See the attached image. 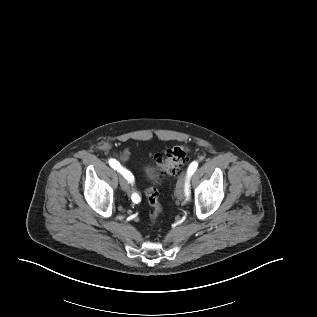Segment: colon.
<instances>
[{
  "label": "colon",
  "instance_id": "1",
  "mask_svg": "<svg viewBox=\"0 0 317 317\" xmlns=\"http://www.w3.org/2000/svg\"><path fill=\"white\" fill-rule=\"evenodd\" d=\"M187 150L185 146L177 145L168 149L164 155L156 154L154 160L158 170L168 175L176 174L187 160ZM145 195L151 207L150 221L154 224L162 212L159 194L156 188L149 187L145 190Z\"/></svg>",
  "mask_w": 317,
  "mask_h": 317
}]
</instances>
